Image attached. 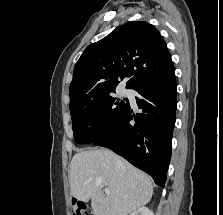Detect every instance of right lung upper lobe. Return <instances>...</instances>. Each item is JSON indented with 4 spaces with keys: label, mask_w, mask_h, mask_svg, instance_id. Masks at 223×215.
Masks as SVG:
<instances>
[{
    "label": "right lung upper lobe",
    "mask_w": 223,
    "mask_h": 215,
    "mask_svg": "<svg viewBox=\"0 0 223 215\" xmlns=\"http://www.w3.org/2000/svg\"><path fill=\"white\" fill-rule=\"evenodd\" d=\"M174 71L171 55L159 31L145 21H132L89 45L75 65L69 87L70 109L126 88L162 79Z\"/></svg>",
    "instance_id": "1"
}]
</instances>
